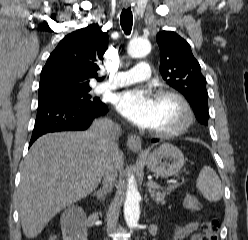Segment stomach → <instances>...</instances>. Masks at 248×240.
Returning a JSON list of instances; mask_svg holds the SVG:
<instances>
[{"mask_svg": "<svg viewBox=\"0 0 248 240\" xmlns=\"http://www.w3.org/2000/svg\"><path fill=\"white\" fill-rule=\"evenodd\" d=\"M142 159L149 170L163 178L178 173L185 162L182 151L170 143H163L153 151L145 153Z\"/></svg>", "mask_w": 248, "mask_h": 240, "instance_id": "0dacf381", "label": "stomach"}]
</instances>
